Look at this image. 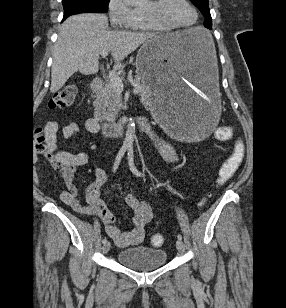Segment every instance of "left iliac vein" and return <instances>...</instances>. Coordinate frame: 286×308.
Segmentation results:
<instances>
[{
    "mask_svg": "<svg viewBox=\"0 0 286 308\" xmlns=\"http://www.w3.org/2000/svg\"><path fill=\"white\" fill-rule=\"evenodd\" d=\"M176 248H177V250L180 252V253H183L184 251H185V245H184V243H183V241L182 240H177L176 241Z\"/></svg>",
    "mask_w": 286,
    "mask_h": 308,
    "instance_id": "obj_1",
    "label": "left iliac vein"
}]
</instances>
